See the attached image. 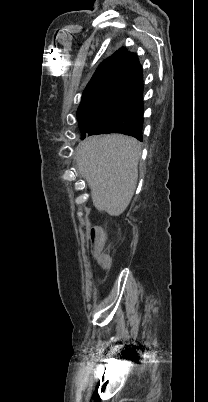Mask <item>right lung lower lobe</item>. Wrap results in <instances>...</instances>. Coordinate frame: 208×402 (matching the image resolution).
I'll list each match as a JSON object with an SVG mask.
<instances>
[{
    "label": "right lung lower lobe",
    "instance_id": "obj_1",
    "mask_svg": "<svg viewBox=\"0 0 208 402\" xmlns=\"http://www.w3.org/2000/svg\"><path fill=\"white\" fill-rule=\"evenodd\" d=\"M142 68L136 56L124 71L109 85L120 92L122 109L116 119L95 117L80 123L88 135L122 133L142 140L143 82Z\"/></svg>",
    "mask_w": 208,
    "mask_h": 402
}]
</instances>
